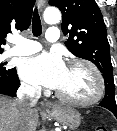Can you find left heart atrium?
Here are the masks:
<instances>
[{
	"instance_id": "1",
	"label": "left heart atrium",
	"mask_w": 117,
	"mask_h": 131,
	"mask_svg": "<svg viewBox=\"0 0 117 131\" xmlns=\"http://www.w3.org/2000/svg\"><path fill=\"white\" fill-rule=\"evenodd\" d=\"M19 73L29 83L58 89L64 80L66 65L58 53H43L24 59Z\"/></svg>"
}]
</instances>
